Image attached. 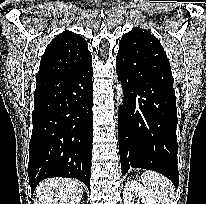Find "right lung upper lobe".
<instances>
[{
	"label": "right lung upper lobe",
	"instance_id": "cb5924a9",
	"mask_svg": "<svg viewBox=\"0 0 206 204\" xmlns=\"http://www.w3.org/2000/svg\"><path fill=\"white\" fill-rule=\"evenodd\" d=\"M90 60L87 42L80 35L65 31L47 46L41 58L37 82L75 71Z\"/></svg>",
	"mask_w": 206,
	"mask_h": 204
}]
</instances>
